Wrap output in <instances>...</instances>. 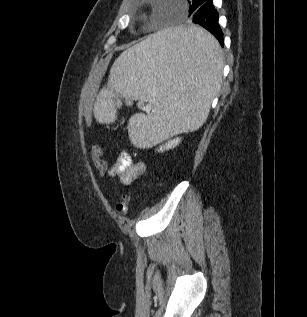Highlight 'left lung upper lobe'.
Instances as JSON below:
<instances>
[{"label":"left lung upper lobe","instance_id":"5c2ea615","mask_svg":"<svg viewBox=\"0 0 307 317\" xmlns=\"http://www.w3.org/2000/svg\"><path fill=\"white\" fill-rule=\"evenodd\" d=\"M189 4V16L193 14L195 10V5L199 0H187Z\"/></svg>","mask_w":307,"mask_h":317}]
</instances>
